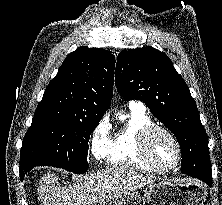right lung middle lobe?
I'll return each mask as SVG.
<instances>
[{"instance_id":"obj_1","label":"right lung middle lobe","mask_w":222,"mask_h":205,"mask_svg":"<svg viewBox=\"0 0 222 205\" xmlns=\"http://www.w3.org/2000/svg\"><path fill=\"white\" fill-rule=\"evenodd\" d=\"M101 117H34L23 139L20 167L54 166L73 173L88 170L90 134Z\"/></svg>"}]
</instances>
